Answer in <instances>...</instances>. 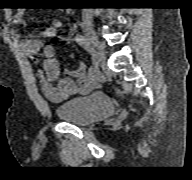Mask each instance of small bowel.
Listing matches in <instances>:
<instances>
[{
	"mask_svg": "<svg viewBox=\"0 0 192 180\" xmlns=\"http://www.w3.org/2000/svg\"><path fill=\"white\" fill-rule=\"evenodd\" d=\"M22 16V11H18L13 16V22L20 24ZM61 25L60 19L53 20L51 25L41 32V36L52 37ZM22 48L37 67L43 95L53 103H60L72 96L89 93L100 84L98 76L88 72L85 64H79L72 72L75 80L72 78L61 79L54 48L52 45H44L41 39L26 40L22 43Z\"/></svg>",
	"mask_w": 192,
	"mask_h": 180,
	"instance_id": "c3829d8e",
	"label": "small bowel"
}]
</instances>
